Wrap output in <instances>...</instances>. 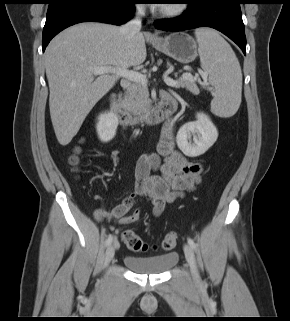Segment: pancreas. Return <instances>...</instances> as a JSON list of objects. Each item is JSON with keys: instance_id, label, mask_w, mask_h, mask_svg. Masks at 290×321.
Wrapping results in <instances>:
<instances>
[{"instance_id": "cf45deb5", "label": "pancreas", "mask_w": 290, "mask_h": 321, "mask_svg": "<svg viewBox=\"0 0 290 321\" xmlns=\"http://www.w3.org/2000/svg\"><path fill=\"white\" fill-rule=\"evenodd\" d=\"M178 84L174 87L186 88L194 95L199 94V89L195 83V79H182L180 78ZM122 106L132 112L135 115H141L147 112L151 107V101L149 99V91L147 85L133 83L126 90L124 98L121 102Z\"/></svg>"}]
</instances>
